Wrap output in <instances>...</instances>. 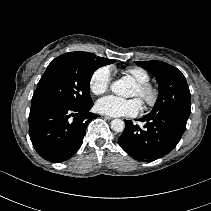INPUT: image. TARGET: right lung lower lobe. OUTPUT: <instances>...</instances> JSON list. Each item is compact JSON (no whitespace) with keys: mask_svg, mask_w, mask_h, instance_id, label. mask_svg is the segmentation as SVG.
Instances as JSON below:
<instances>
[{"mask_svg":"<svg viewBox=\"0 0 211 211\" xmlns=\"http://www.w3.org/2000/svg\"><path fill=\"white\" fill-rule=\"evenodd\" d=\"M85 107L73 108L58 104L31 105L29 135L37 153L47 161L60 163L80 148L86 127L96 114Z\"/></svg>","mask_w":211,"mask_h":211,"instance_id":"1","label":"right lung lower lobe"}]
</instances>
